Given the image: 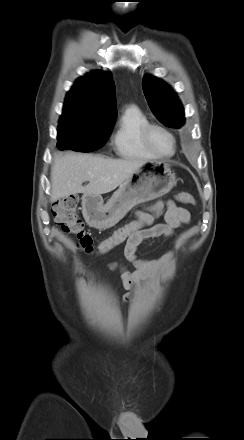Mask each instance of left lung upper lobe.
<instances>
[{
    "mask_svg": "<svg viewBox=\"0 0 244 440\" xmlns=\"http://www.w3.org/2000/svg\"><path fill=\"white\" fill-rule=\"evenodd\" d=\"M142 87L151 110L164 125L177 129L184 124L183 106L169 85L146 75Z\"/></svg>",
    "mask_w": 244,
    "mask_h": 440,
    "instance_id": "1",
    "label": "left lung upper lobe"
}]
</instances>
